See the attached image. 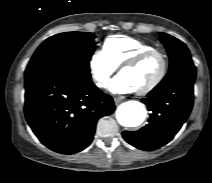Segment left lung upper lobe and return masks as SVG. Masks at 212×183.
Wrapping results in <instances>:
<instances>
[{"label":"left lung upper lobe","mask_w":212,"mask_h":183,"mask_svg":"<svg viewBox=\"0 0 212 183\" xmlns=\"http://www.w3.org/2000/svg\"><path fill=\"white\" fill-rule=\"evenodd\" d=\"M159 39L165 45L168 52L170 58V68L185 59L191 58L190 52L186 45L175 37L166 33H160Z\"/></svg>","instance_id":"5c2ea615"}]
</instances>
